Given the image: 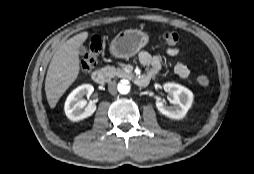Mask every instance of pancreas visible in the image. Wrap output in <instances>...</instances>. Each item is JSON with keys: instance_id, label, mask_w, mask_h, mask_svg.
Here are the masks:
<instances>
[{"instance_id": "1", "label": "pancreas", "mask_w": 254, "mask_h": 174, "mask_svg": "<svg viewBox=\"0 0 254 174\" xmlns=\"http://www.w3.org/2000/svg\"><path fill=\"white\" fill-rule=\"evenodd\" d=\"M102 72L109 78L114 77H128L129 74L123 68H115L113 66H106L102 68Z\"/></svg>"}]
</instances>
